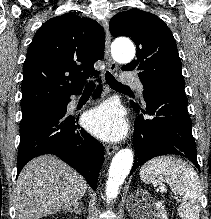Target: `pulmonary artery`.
<instances>
[{
    "instance_id": "pulmonary-artery-1",
    "label": "pulmonary artery",
    "mask_w": 211,
    "mask_h": 219,
    "mask_svg": "<svg viewBox=\"0 0 211 219\" xmlns=\"http://www.w3.org/2000/svg\"><path fill=\"white\" fill-rule=\"evenodd\" d=\"M121 79H122L123 83L133 85L142 94L143 89H144L143 84L141 83V81L137 77L132 76L128 73H123L121 76Z\"/></svg>"
}]
</instances>
